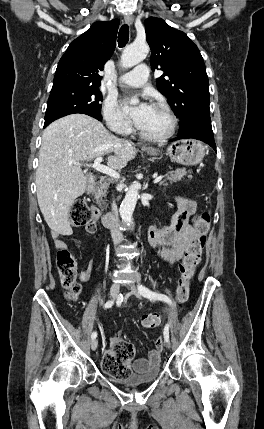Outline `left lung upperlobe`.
I'll return each mask as SVG.
<instances>
[{
	"instance_id": "left-lung-upper-lobe-1",
	"label": "left lung upper lobe",
	"mask_w": 264,
	"mask_h": 429,
	"mask_svg": "<svg viewBox=\"0 0 264 429\" xmlns=\"http://www.w3.org/2000/svg\"><path fill=\"white\" fill-rule=\"evenodd\" d=\"M145 32L152 70L164 71L156 79L157 88L179 117L180 131L188 130L198 119L210 117L209 82L200 51L161 18L146 19Z\"/></svg>"
}]
</instances>
